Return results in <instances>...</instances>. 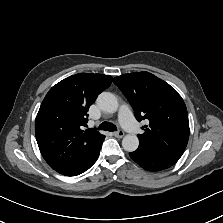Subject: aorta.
Returning <instances> with one entry per match:
<instances>
[{"label":"aorta","mask_w":223,"mask_h":223,"mask_svg":"<svg viewBox=\"0 0 223 223\" xmlns=\"http://www.w3.org/2000/svg\"><path fill=\"white\" fill-rule=\"evenodd\" d=\"M100 110L105 113L114 114L119 108L117 97L109 92H103L96 101ZM122 146L126 151H135L139 146V139L135 134H126L122 139Z\"/></svg>","instance_id":"762f6f07"}]
</instances>
